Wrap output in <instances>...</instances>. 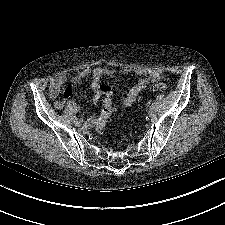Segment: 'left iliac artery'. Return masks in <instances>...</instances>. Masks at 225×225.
I'll return each mask as SVG.
<instances>
[{"label": "left iliac artery", "mask_w": 225, "mask_h": 225, "mask_svg": "<svg viewBox=\"0 0 225 225\" xmlns=\"http://www.w3.org/2000/svg\"><path fill=\"white\" fill-rule=\"evenodd\" d=\"M151 107L155 108V104H154V103H152Z\"/></svg>", "instance_id": "obj_1"}]
</instances>
